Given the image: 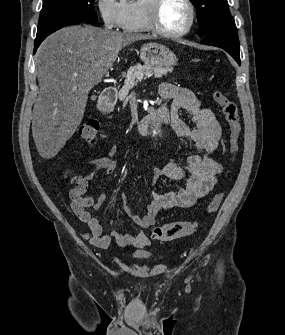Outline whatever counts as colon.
<instances>
[{
	"mask_svg": "<svg viewBox=\"0 0 285 335\" xmlns=\"http://www.w3.org/2000/svg\"><path fill=\"white\" fill-rule=\"evenodd\" d=\"M213 100L222 109L224 118L229 127L230 152L234 156L239 149V137L241 133V123L239 111L236 103L231 101L226 94L215 91L212 94ZM100 130V123L96 119L87 120L78 130L79 137L89 144H94L97 140ZM77 183V180H75ZM223 194L217 193L209 203L206 213H215L222 202ZM199 227V221H180L170 222L155 227L152 232V238L159 241H170L176 238L193 234Z\"/></svg>",
	"mask_w": 285,
	"mask_h": 335,
	"instance_id": "colon-1",
	"label": "colon"
}]
</instances>
